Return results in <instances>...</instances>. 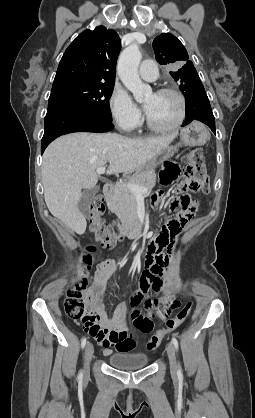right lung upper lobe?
I'll list each match as a JSON object with an SVG mask.
<instances>
[{"label": "right lung upper lobe", "instance_id": "right-lung-upper-lobe-1", "mask_svg": "<svg viewBox=\"0 0 255 418\" xmlns=\"http://www.w3.org/2000/svg\"><path fill=\"white\" fill-rule=\"evenodd\" d=\"M120 48L114 30L98 26L83 31L63 54L53 85L68 81L114 83Z\"/></svg>", "mask_w": 255, "mask_h": 418}]
</instances>
